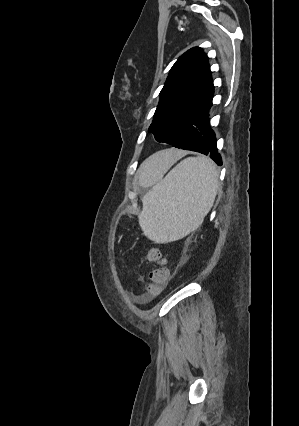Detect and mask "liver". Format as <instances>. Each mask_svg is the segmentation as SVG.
I'll list each match as a JSON object with an SVG mask.
<instances>
[{"mask_svg":"<svg viewBox=\"0 0 299 426\" xmlns=\"http://www.w3.org/2000/svg\"><path fill=\"white\" fill-rule=\"evenodd\" d=\"M167 154H168V152L161 151V152H158V153L152 155L142 164L140 171L143 172V171L149 169L151 166L154 165V163H157V162L163 160L167 156Z\"/></svg>","mask_w":299,"mask_h":426,"instance_id":"6515ba94","label":"liver"}]
</instances>
